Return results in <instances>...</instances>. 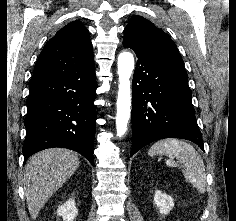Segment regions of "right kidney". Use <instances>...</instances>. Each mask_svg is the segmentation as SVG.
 Listing matches in <instances>:
<instances>
[{
  "instance_id": "1",
  "label": "right kidney",
  "mask_w": 236,
  "mask_h": 221,
  "mask_svg": "<svg viewBox=\"0 0 236 221\" xmlns=\"http://www.w3.org/2000/svg\"><path fill=\"white\" fill-rule=\"evenodd\" d=\"M78 214V210L73 199H69L57 209V215L62 216L63 221H73Z\"/></svg>"
}]
</instances>
